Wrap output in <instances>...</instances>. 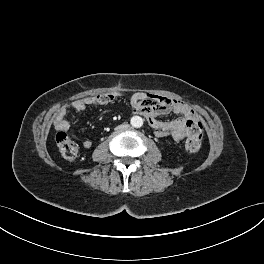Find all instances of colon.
Wrapping results in <instances>:
<instances>
[{"mask_svg": "<svg viewBox=\"0 0 264 264\" xmlns=\"http://www.w3.org/2000/svg\"><path fill=\"white\" fill-rule=\"evenodd\" d=\"M203 139V127L200 121L191 120L187 126V138L185 147L188 152L196 153L199 151ZM56 144L61 155L68 160H73L78 156L79 149L77 144L66 133L65 130L58 131Z\"/></svg>", "mask_w": 264, "mask_h": 264, "instance_id": "1", "label": "colon"}]
</instances>
